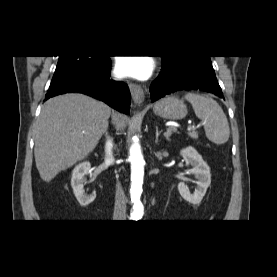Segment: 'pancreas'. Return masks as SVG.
I'll return each instance as SVG.
<instances>
[{
  "label": "pancreas",
  "mask_w": 277,
  "mask_h": 277,
  "mask_svg": "<svg viewBox=\"0 0 277 277\" xmlns=\"http://www.w3.org/2000/svg\"><path fill=\"white\" fill-rule=\"evenodd\" d=\"M188 135H189L191 138H194V139L198 138V134H197L196 132H191V133H189Z\"/></svg>",
  "instance_id": "1"
}]
</instances>
